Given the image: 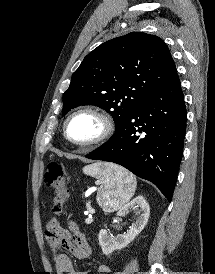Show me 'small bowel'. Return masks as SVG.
I'll return each instance as SVG.
<instances>
[{"instance_id":"c3829d8e","label":"small bowel","mask_w":215,"mask_h":274,"mask_svg":"<svg viewBox=\"0 0 215 274\" xmlns=\"http://www.w3.org/2000/svg\"><path fill=\"white\" fill-rule=\"evenodd\" d=\"M46 239L53 253L57 274H88L87 271L75 270L67 254L57 253L62 248L78 260H86L91 256V248L85 235L73 221H69L67 227L51 221L47 226ZM97 270L104 274L110 272L109 266L105 264L98 265Z\"/></svg>"}]
</instances>
